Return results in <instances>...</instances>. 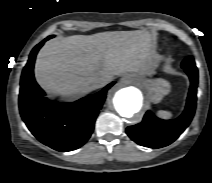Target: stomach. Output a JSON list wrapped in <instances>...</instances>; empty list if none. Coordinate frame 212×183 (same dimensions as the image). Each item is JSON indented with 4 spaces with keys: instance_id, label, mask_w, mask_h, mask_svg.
I'll list each match as a JSON object with an SVG mask.
<instances>
[{
    "instance_id": "1",
    "label": "stomach",
    "mask_w": 212,
    "mask_h": 183,
    "mask_svg": "<svg viewBox=\"0 0 212 183\" xmlns=\"http://www.w3.org/2000/svg\"><path fill=\"white\" fill-rule=\"evenodd\" d=\"M147 89L148 97L151 102L158 103L170 92V84L163 79H145L140 78Z\"/></svg>"
}]
</instances>
